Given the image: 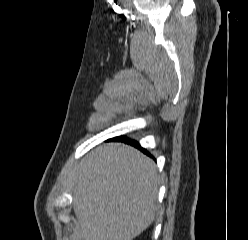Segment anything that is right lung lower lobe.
Masks as SVG:
<instances>
[{"instance_id": "right-lung-lower-lobe-1", "label": "right lung lower lobe", "mask_w": 248, "mask_h": 240, "mask_svg": "<svg viewBox=\"0 0 248 240\" xmlns=\"http://www.w3.org/2000/svg\"><path fill=\"white\" fill-rule=\"evenodd\" d=\"M112 140H116V141H123V142H126L128 144H131L133 146H136L138 148H140L144 153H146L147 155H150L147 151H145V149L141 148L140 145L134 141V140H130L124 136H121V137H116V138H113Z\"/></svg>"}]
</instances>
